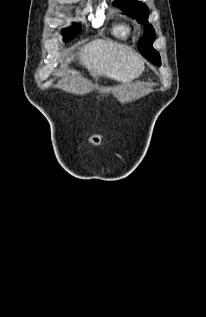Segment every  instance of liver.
I'll list each match as a JSON object with an SVG mask.
<instances>
[{
    "label": "liver",
    "mask_w": 206,
    "mask_h": 317,
    "mask_svg": "<svg viewBox=\"0 0 206 317\" xmlns=\"http://www.w3.org/2000/svg\"><path fill=\"white\" fill-rule=\"evenodd\" d=\"M80 60L90 73L112 80L129 82L144 70V61L130 48L108 40H94L72 54L67 61Z\"/></svg>",
    "instance_id": "1"
}]
</instances>
